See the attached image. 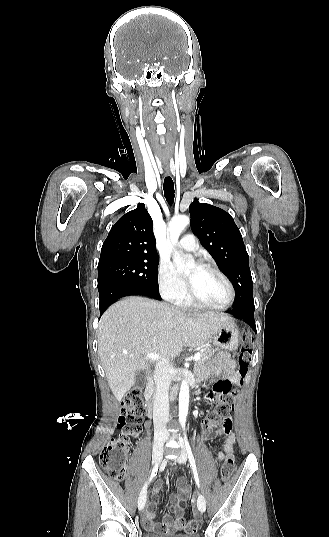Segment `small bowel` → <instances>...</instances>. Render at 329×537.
<instances>
[{
  "instance_id": "c3829d8e",
  "label": "small bowel",
  "mask_w": 329,
  "mask_h": 537,
  "mask_svg": "<svg viewBox=\"0 0 329 537\" xmlns=\"http://www.w3.org/2000/svg\"><path fill=\"white\" fill-rule=\"evenodd\" d=\"M205 375L210 378L221 377L212 384L213 390L204 391L203 396L206 398L205 402H211V399H217L220 395L223 397L231 395V387L233 383L238 382L241 378L235 361L225 353L219 354L211 361ZM208 384H211V381H208ZM203 434L206 440H212L216 437L223 443V451L218 452L216 455V460L218 462L223 461L226 457L232 454L236 440L232 431V422H230L226 429L222 430H216L214 427L205 424ZM161 489L162 482L157 481L152 491V499L147 503L142 515L143 526L146 530L156 533H176L184 528V509L181 503L185 502L188 498L190 488L187 485L186 480L180 478L177 481V489L179 493H173L169 496V501L171 503L170 510L175 516V520H171L170 517L166 515L162 522H156V509Z\"/></svg>"
}]
</instances>
